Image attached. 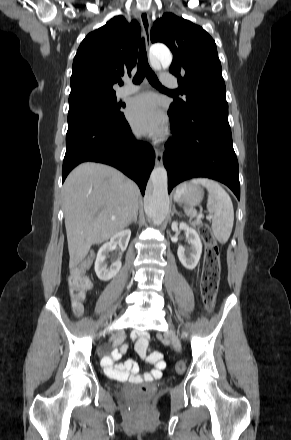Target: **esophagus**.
Masks as SVG:
<instances>
[{
	"label": "esophagus",
	"mask_w": 291,
	"mask_h": 440,
	"mask_svg": "<svg viewBox=\"0 0 291 440\" xmlns=\"http://www.w3.org/2000/svg\"><path fill=\"white\" fill-rule=\"evenodd\" d=\"M140 22H141V26H142V30H143V34H144V38H145V43L148 47L149 42H150L151 21H150L149 13L147 11H141ZM155 155H156L155 156V164L160 165L163 160V152L159 149H156Z\"/></svg>",
	"instance_id": "34e87169"
}]
</instances>
